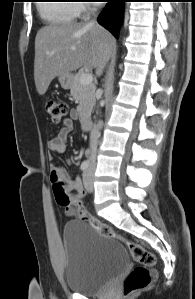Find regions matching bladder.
Returning a JSON list of instances; mask_svg holds the SVG:
<instances>
[{
	"mask_svg": "<svg viewBox=\"0 0 195 299\" xmlns=\"http://www.w3.org/2000/svg\"><path fill=\"white\" fill-rule=\"evenodd\" d=\"M64 280L70 291L93 295L128 267L125 248L87 222L69 221L63 230Z\"/></svg>",
	"mask_w": 195,
	"mask_h": 299,
	"instance_id": "31cf9c89",
	"label": "bladder"
}]
</instances>
